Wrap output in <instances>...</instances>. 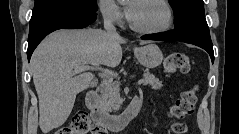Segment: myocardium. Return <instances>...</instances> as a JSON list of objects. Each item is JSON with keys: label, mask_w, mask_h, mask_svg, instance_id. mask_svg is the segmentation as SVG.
Returning <instances> with one entry per match:
<instances>
[{"label": "myocardium", "mask_w": 239, "mask_h": 134, "mask_svg": "<svg viewBox=\"0 0 239 134\" xmlns=\"http://www.w3.org/2000/svg\"><path fill=\"white\" fill-rule=\"evenodd\" d=\"M161 5L166 13L165 22L157 28H142L134 25L131 20H129V25L132 30L142 34L155 35L167 31L173 23V12L170 4L165 0H150Z\"/></svg>", "instance_id": "1"}]
</instances>
